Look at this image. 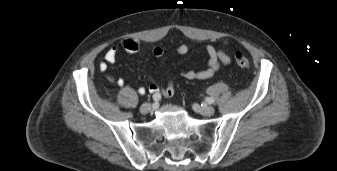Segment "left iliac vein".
Masks as SVG:
<instances>
[{"instance_id":"4c4485c4","label":"left iliac vein","mask_w":337,"mask_h":171,"mask_svg":"<svg viewBox=\"0 0 337 171\" xmlns=\"http://www.w3.org/2000/svg\"><path fill=\"white\" fill-rule=\"evenodd\" d=\"M194 109L196 112L205 115V116H211L214 114L215 110L212 106H199V105H194Z\"/></svg>"}]
</instances>
